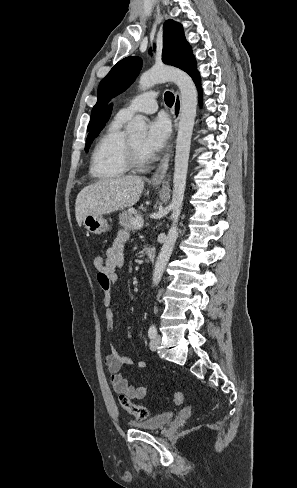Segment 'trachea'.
<instances>
[{"label": "trachea", "instance_id": "1", "mask_svg": "<svg viewBox=\"0 0 297 488\" xmlns=\"http://www.w3.org/2000/svg\"><path fill=\"white\" fill-rule=\"evenodd\" d=\"M165 103L168 106H172L174 103V95L171 92H166L164 95Z\"/></svg>", "mask_w": 297, "mask_h": 488}]
</instances>
